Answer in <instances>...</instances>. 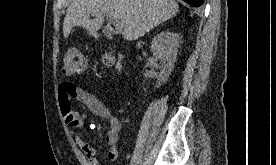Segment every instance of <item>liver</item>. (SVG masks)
<instances>
[{
	"label": "liver",
	"mask_w": 276,
	"mask_h": 165,
	"mask_svg": "<svg viewBox=\"0 0 276 165\" xmlns=\"http://www.w3.org/2000/svg\"><path fill=\"white\" fill-rule=\"evenodd\" d=\"M178 11L174 0H73L63 22V35L67 38L75 26L96 32L108 16L119 20L123 38L133 41L171 19ZM90 14L96 18L90 19Z\"/></svg>",
	"instance_id": "6515ba94"
}]
</instances>
